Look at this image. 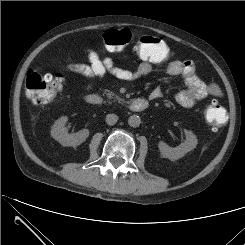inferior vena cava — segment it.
<instances>
[{"label": "inferior vena cava", "mask_w": 245, "mask_h": 245, "mask_svg": "<svg viewBox=\"0 0 245 245\" xmlns=\"http://www.w3.org/2000/svg\"><path fill=\"white\" fill-rule=\"evenodd\" d=\"M118 121V116L115 114H107L106 115V123L108 125H114Z\"/></svg>", "instance_id": "inferior-vena-cava-1"}]
</instances>
